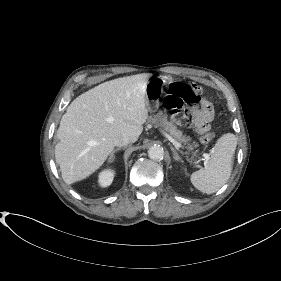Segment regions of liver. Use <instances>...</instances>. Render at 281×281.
Returning <instances> with one entry per match:
<instances>
[{
  "label": "liver",
  "instance_id": "obj_1",
  "mask_svg": "<svg viewBox=\"0 0 281 281\" xmlns=\"http://www.w3.org/2000/svg\"><path fill=\"white\" fill-rule=\"evenodd\" d=\"M147 74L104 82L78 96L62 116L55 146L56 163L65 183L87 178L113 152L114 138L138 140L148 118Z\"/></svg>",
  "mask_w": 281,
  "mask_h": 281
}]
</instances>
